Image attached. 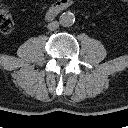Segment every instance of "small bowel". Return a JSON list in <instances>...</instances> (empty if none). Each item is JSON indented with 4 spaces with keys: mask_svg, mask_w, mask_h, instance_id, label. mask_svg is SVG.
Masks as SVG:
<instances>
[{
    "mask_svg": "<svg viewBox=\"0 0 128 128\" xmlns=\"http://www.w3.org/2000/svg\"><path fill=\"white\" fill-rule=\"evenodd\" d=\"M122 2H128V0H121Z\"/></svg>",
    "mask_w": 128,
    "mask_h": 128,
    "instance_id": "obj_1",
    "label": "small bowel"
}]
</instances>
